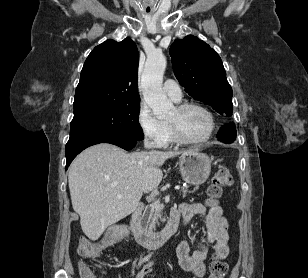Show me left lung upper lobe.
<instances>
[{
  "label": "left lung upper lobe",
  "mask_w": 308,
  "mask_h": 278,
  "mask_svg": "<svg viewBox=\"0 0 308 278\" xmlns=\"http://www.w3.org/2000/svg\"><path fill=\"white\" fill-rule=\"evenodd\" d=\"M170 56L175 76L190 96L210 105L221 115H232V88L214 49L188 35L173 42Z\"/></svg>",
  "instance_id": "1"
}]
</instances>
